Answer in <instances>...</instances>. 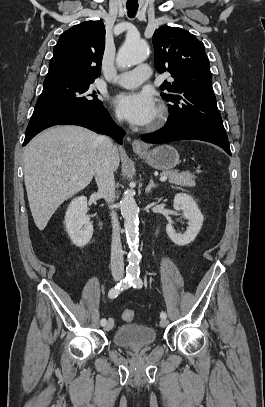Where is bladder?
Here are the masks:
<instances>
[{"label": "bladder", "mask_w": 265, "mask_h": 407, "mask_svg": "<svg viewBox=\"0 0 265 407\" xmlns=\"http://www.w3.org/2000/svg\"><path fill=\"white\" fill-rule=\"evenodd\" d=\"M157 334L154 328L144 325L124 324L113 335L117 346L129 349H142L154 344Z\"/></svg>", "instance_id": "bladder-1"}]
</instances>
